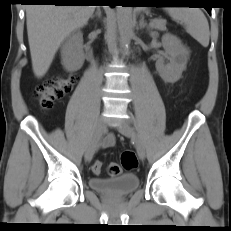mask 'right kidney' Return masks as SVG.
<instances>
[{
  "mask_svg": "<svg viewBox=\"0 0 231 231\" xmlns=\"http://www.w3.org/2000/svg\"><path fill=\"white\" fill-rule=\"evenodd\" d=\"M62 64L70 72L79 70L84 63L83 36L76 33L67 41L61 52Z\"/></svg>",
  "mask_w": 231,
  "mask_h": 231,
  "instance_id": "obj_1",
  "label": "right kidney"
}]
</instances>
